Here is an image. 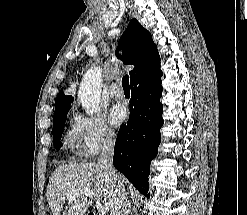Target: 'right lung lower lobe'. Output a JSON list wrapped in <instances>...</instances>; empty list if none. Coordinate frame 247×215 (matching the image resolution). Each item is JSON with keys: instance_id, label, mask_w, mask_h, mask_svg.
I'll use <instances>...</instances> for the list:
<instances>
[{"instance_id": "1", "label": "right lung lower lobe", "mask_w": 247, "mask_h": 215, "mask_svg": "<svg viewBox=\"0 0 247 215\" xmlns=\"http://www.w3.org/2000/svg\"><path fill=\"white\" fill-rule=\"evenodd\" d=\"M161 76L158 57L131 80L130 116L120 127L113 158L115 168L147 197L150 163L158 153L163 125Z\"/></svg>"}]
</instances>
